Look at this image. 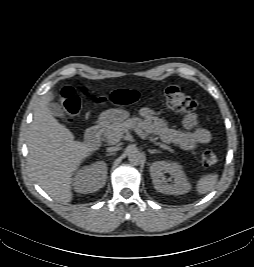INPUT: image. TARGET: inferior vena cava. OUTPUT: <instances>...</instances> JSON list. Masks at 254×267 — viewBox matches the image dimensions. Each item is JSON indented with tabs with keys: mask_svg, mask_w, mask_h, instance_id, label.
<instances>
[{
	"mask_svg": "<svg viewBox=\"0 0 254 267\" xmlns=\"http://www.w3.org/2000/svg\"><path fill=\"white\" fill-rule=\"evenodd\" d=\"M118 150H119L118 147H109V148H107V152H109V153H112V152H115V151H118Z\"/></svg>",
	"mask_w": 254,
	"mask_h": 267,
	"instance_id": "inferior-vena-cava-1",
	"label": "inferior vena cava"
}]
</instances>
